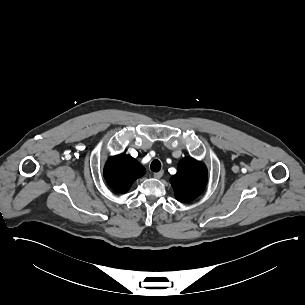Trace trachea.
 Wrapping results in <instances>:
<instances>
[{"label":"trachea","mask_w":305,"mask_h":305,"mask_svg":"<svg viewBox=\"0 0 305 305\" xmlns=\"http://www.w3.org/2000/svg\"><path fill=\"white\" fill-rule=\"evenodd\" d=\"M150 168L153 172H158L161 169V162L158 159H155L151 162Z\"/></svg>","instance_id":"3493384b"}]
</instances>
